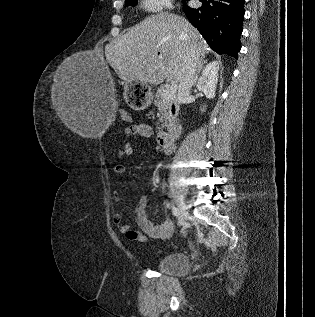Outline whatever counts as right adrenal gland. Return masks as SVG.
<instances>
[{
    "mask_svg": "<svg viewBox=\"0 0 315 317\" xmlns=\"http://www.w3.org/2000/svg\"><path fill=\"white\" fill-rule=\"evenodd\" d=\"M207 63V60H204V56L201 57L200 59V62H199V65H198V70H197V73L195 75V79H194V83L193 85H196V82L198 80V76L203 68V65Z\"/></svg>",
    "mask_w": 315,
    "mask_h": 317,
    "instance_id": "obj_1",
    "label": "right adrenal gland"
}]
</instances>
